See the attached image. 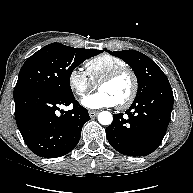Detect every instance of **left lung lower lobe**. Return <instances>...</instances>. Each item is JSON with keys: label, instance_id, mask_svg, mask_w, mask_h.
I'll list each match as a JSON object with an SVG mask.
<instances>
[{"label": "left lung lower lobe", "instance_id": "1", "mask_svg": "<svg viewBox=\"0 0 193 193\" xmlns=\"http://www.w3.org/2000/svg\"><path fill=\"white\" fill-rule=\"evenodd\" d=\"M174 103L173 92L167 80L162 81L145 95L133 101L125 112L114 114L106 128L111 146L128 156H147L161 144Z\"/></svg>", "mask_w": 193, "mask_h": 193}]
</instances>
